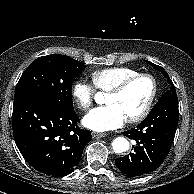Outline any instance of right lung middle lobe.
<instances>
[{
	"label": "right lung middle lobe",
	"instance_id": "1",
	"mask_svg": "<svg viewBox=\"0 0 194 194\" xmlns=\"http://www.w3.org/2000/svg\"><path fill=\"white\" fill-rule=\"evenodd\" d=\"M85 67L82 62L65 55L51 54L39 57L22 74L14 99L37 94L62 103L73 102V80Z\"/></svg>",
	"mask_w": 194,
	"mask_h": 194
}]
</instances>
